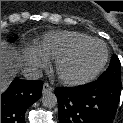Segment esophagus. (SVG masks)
<instances>
[{"label": "esophagus", "instance_id": "1", "mask_svg": "<svg viewBox=\"0 0 123 123\" xmlns=\"http://www.w3.org/2000/svg\"><path fill=\"white\" fill-rule=\"evenodd\" d=\"M52 91H53V88L48 83H44L43 88H42V92L44 94H46V93H50Z\"/></svg>", "mask_w": 123, "mask_h": 123}]
</instances>
